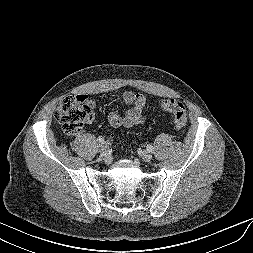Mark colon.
Listing matches in <instances>:
<instances>
[{"instance_id":"5ec220e1","label":"colon","mask_w":253,"mask_h":253,"mask_svg":"<svg viewBox=\"0 0 253 253\" xmlns=\"http://www.w3.org/2000/svg\"><path fill=\"white\" fill-rule=\"evenodd\" d=\"M160 108L174 117L176 127L182 128L187 122L186 107L176 99H162ZM55 118L63 127L65 133L75 135L82 126L93 119V112L85 96H67L61 100Z\"/></svg>"}]
</instances>
